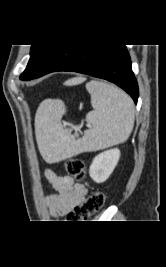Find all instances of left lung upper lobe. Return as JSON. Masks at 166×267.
I'll return each mask as SVG.
<instances>
[{"mask_svg":"<svg viewBox=\"0 0 166 267\" xmlns=\"http://www.w3.org/2000/svg\"><path fill=\"white\" fill-rule=\"evenodd\" d=\"M58 45H32L30 50V59L25 71L20 79L27 81L34 78L44 61L54 51Z\"/></svg>","mask_w":166,"mask_h":267,"instance_id":"left-lung-upper-lobe-1","label":"left lung upper lobe"}]
</instances>
